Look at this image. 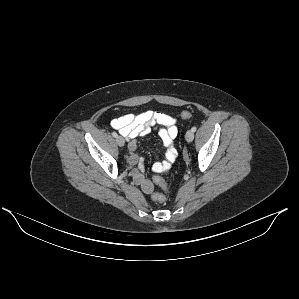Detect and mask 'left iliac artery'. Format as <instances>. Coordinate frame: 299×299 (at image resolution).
<instances>
[{"instance_id":"left-iliac-artery-1","label":"left iliac artery","mask_w":299,"mask_h":299,"mask_svg":"<svg viewBox=\"0 0 299 299\" xmlns=\"http://www.w3.org/2000/svg\"><path fill=\"white\" fill-rule=\"evenodd\" d=\"M196 129H197V128H196V126H194V127H192V129H191V130H192L193 132H195V131H196Z\"/></svg>"}]
</instances>
